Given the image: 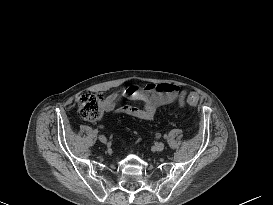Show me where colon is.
Wrapping results in <instances>:
<instances>
[{
	"label": "colon",
	"instance_id": "5ec220e1",
	"mask_svg": "<svg viewBox=\"0 0 273 205\" xmlns=\"http://www.w3.org/2000/svg\"><path fill=\"white\" fill-rule=\"evenodd\" d=\"M187 102L191 106H196L198 98L195 94H190ZM77 105L84 119L97 120L103 113L104 97L100 93L84 92L78 95Z\"/></svg>",
	"mask_w": 273,
	"mask_h": 205
}]
</instances>
